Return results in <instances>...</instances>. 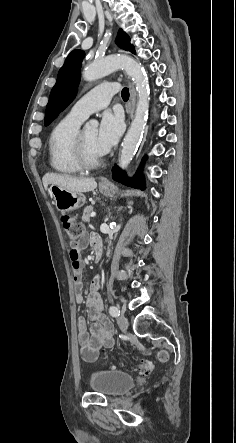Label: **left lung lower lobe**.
<instances>
[{"mask_svg":"<svg viewBox=\"0 0 236 443\" xmlns=\"http://www.w3.org/2000/svg\"><path fill=\"white\" fill-rule=\"evenodd\" d=\"M140 172L141 168H138L134 178L130 180L120 168L115 166V168H113V179L128 186L144 189V178L140 176Z\"/></svg>","mask_w":236,"mask_h":443,"instance_id":"1","label":"left lung lower lobe"}]
</instances>
